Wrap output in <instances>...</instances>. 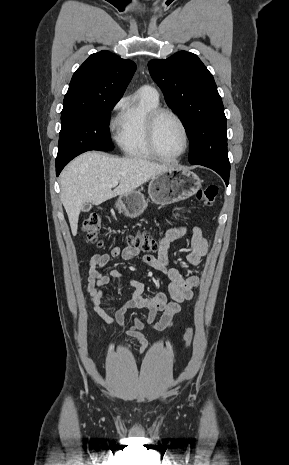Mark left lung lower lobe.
Segmentation results:
<instances>
[{"instance_id": "1", "label": "left lung lower lobe", "mask_w": 289, "mask_h": 465, "mask_svg": "<svg viewBox=\"0 0 289 465\" xmlns=\"http://www.w3.org/2000/svg\"><path fill=\"white\" fill-rule=\"evenodd\" d=\"M194 165H202V166L213 169L224 179L226 185L228 186L230 166H222V165L212 164V163H197Z\"/></svg>"}]
</instances>
